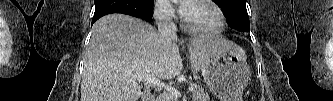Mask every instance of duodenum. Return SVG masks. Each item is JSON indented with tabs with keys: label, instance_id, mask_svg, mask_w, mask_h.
Listing matches in <instances>:
<instances>
[{
	"label": "duodenum",
	"instance_id": "1",
	"mask_svg": "<svg viewBox=\"0 0 333 101\" xmlns=\"http://www.w3.org/2000/svg\"><path fill=\"white\" fill-rule=\"evenodd\" d=\"M142 101H155V97L151 92H146L142 97Z\"/></svg>",
	"mask_w": 333,
	"mask_h": 101
}]
</instances>
